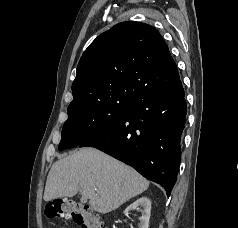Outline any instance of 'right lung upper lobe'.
I'll return each instance as SVG.
<instances>
[{
    "mask_svg": "<svg viewBox=\"0 0 238 228\" xmlns=\"http://www.w3.org/2000/svg\"><path fill=\"white\" fill-rule=\"evenodd\" d=\"M178 80L160 33L145 23L122 22L99 35L83 53L68 114L96 104H128Z\"/></svg>",
    "mask_w": 238,
    "mask_h": 228,
    "instance_id": "cb5924a9",
    "label": "right lung upper lobe"
}]
</instances>
